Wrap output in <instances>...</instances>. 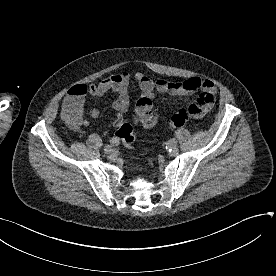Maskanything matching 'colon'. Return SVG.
I'll use <instances>...</instances> for the list:
<instances>
[{
    "instance_id": "5ec220e1",
    "label": "colon",
    "mask_w": 276,
    "mask_h": 276,
    "mask_svg": "<svg viewBox=\"0 0 276 276\" xmlns=\"http://www.w3.org/2000/svg\"><path fill=\"white\" fill-rule=\"evenodd\" d=\"M138 106L141 111L143 121L147 126H153L158 121V115L154 111V101L152 99H140L138 101ZM199 109L192 103L187 105L186 107L180 109L179 111L173 113L169 119L168 123L173 127H182L187 122H189L192 118H195L196 114H198ZM76 112L68 111L65 113V117L70 122L76 121ZM116 137L120 140L122 145L130 149L132 148L134 142V132L131 124L120 121L116 125Z\"/></svg>"
}]
</instances>
